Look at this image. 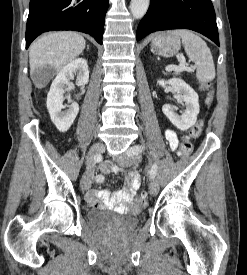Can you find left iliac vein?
<instances>
[{"label": "left iliac vein", "instance_id": "obj_1", "mask_svg": "<svg viewBox=\"0 0 247 275\" xmlns=\"http://www.w3.org/2000/svg\"><path fill=\"white\" fill-rule=\"evenodd\" d=\"M135 148L136 146L128 148L124 156L118 157V164L124 167L137 164L141 160V156L139 152L135 151ZM149 191L152 195H155L158 191V183L154 178L150 182Z\"/></svg>", "mask_w": 247, "mask_h": 275}]
</instances>
